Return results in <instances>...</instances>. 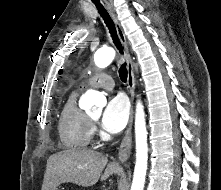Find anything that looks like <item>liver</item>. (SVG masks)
Here are the masks:
<instances>
[{
  "label": "liver",
  "mask_w": 221,
  "mask_h": 190,
  "mask_svg": "<svg viewBox=\"0 0 221 190\" xmlns=\"http://www.w3.org/2000/svg\"><path fill=\"white\" fill-rule=\"evenodd\" d=\"M116 173H122V168L114 162L108 164L107 157L100 152L67 149L48 158L41 190H56L60 184L68 182L88 187L96 184L100 176L104 181Z\"/></svg>",
  "instance_id": "liver-1"
}]
</instances>
